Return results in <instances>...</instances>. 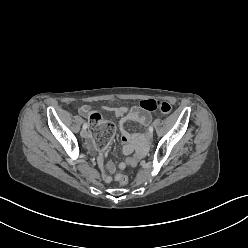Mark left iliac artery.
Instances as JSON below:
<instances>
[{
	"instance_id": "obj_1",
	"label": "left iliac artery",
	"mask_w": 248,
	"mask_h": 248,
	"mask_svg": "<svg viewBox=\"0 0 248 248\" xmlns=\"http://www.w3.org/2000/svg\"><path fill=\"white\" fill-rule=\"evenodd\" d=\"M148 129H149L150 132H153V127L152 126H149Z\"/></svg>"
}]
</instances>
